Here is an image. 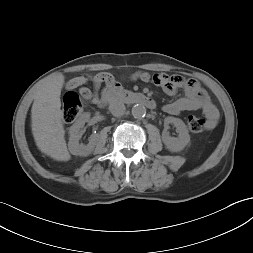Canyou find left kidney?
<instances>
[{
	"mask_svg": "<svg viewBox=\"0 0 253 253\" xmlns=\"http://www.w3.org/2000/svg\"><path fill=\"white\" fill-rule=\"evenodd\" d=\"M169 124H173L176 127L177 133L179 134L177 138L169 136L167 132ZM162 140L167 149L172 152L183 150L190 142V135L187 126L179 118L166 117L164 119V131L162 134Z\"/></svg>",
	"mask_w": 253,
	"mask_h": 253,
	"instance_id": "1",
	"label": "left kidney"
}]
</instances>
